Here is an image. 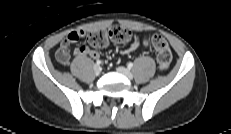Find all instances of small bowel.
<instances>
[{"label":"small bowel","instance_id":"obj_1","mask_svg":"<svg viewBox=\"0 0 231 134\" xmlns=\"http://www.w3.org/2000/svg\"><path fill=\"white\" fill-rule=\"evenodd\" d=\"M86 36V32L84 30H77L70 32L65 39L61 42L57 52H56V59L59 63L63 65H67L69 63L70 59V45L80 38H83ZM147 40L140 38L138 35H135L133 37V40L131 44L121 51L122 54L126 55L129 54L141 46H146ZM74 56H89L93 59L99 58L100 54L98 51L90 49L89 47L85 45H80L76 47L73 51Z\"/></svg>","mask_w":231,"mask_h":134}]
</instances>
